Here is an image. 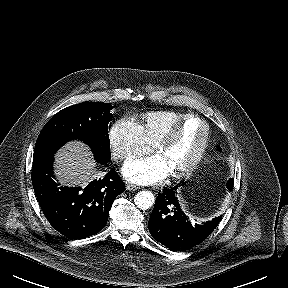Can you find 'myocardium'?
I'll use <instances>...</instances> for the list:
<instances>
[{"label": "myocardium", "instance_id": "myocardium-1", "mask_svg": "<svg viewBox=\"0 0 288 288\" xmlns=\"http://www.w3.org/2000/svg\"><path fill=\"white\" fill-rule=\"evenodd\" d=\"M191 120H199L201 121L206 128V134L204 143L196 155V157L179 173L171 174V178L174 180H182L190 176L193 171L199 166L203 158L205 157L211 142V128L209 123L199 115L190 114L183 119L179 120L175 124H173L168 130H166L154 143L153 151L156 152L157 150L169 145L174 138L176 137L177 133L180 129L189 121Z\"/></svg>", "mask_w": 288, "mask_h": 288}]
</instances>
